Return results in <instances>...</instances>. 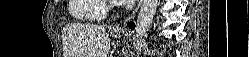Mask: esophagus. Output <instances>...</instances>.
Wrapping results in <instances>:
<instances>
[{
    "mask_svg": "<svg viewBox=\"0 0 249 57\" xmlns=\"http://www.w3.org/2000/svg\"><path fill=\"white\" fill-rule=\"evenodd\" d=\"M142 2H143V0H140V1H139L138 5L136 6V8H135V10L133 11V13H132L129 17H127V18L124 20L123 24H126L128 21H130V20H132V19L134 18V16H135L136 13L138 12V10H139V8H140ZM112 29L115 30V31H116V30H122V27H121L120 25H115V26L112 27Z\"/></svg>",
    "mask_w": 249,
    "mask_h": 57,
    "instance_id": "obj_1",
    "label": "esophagus"
}]
</instances>
